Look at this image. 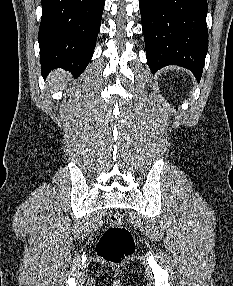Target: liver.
<instances>
[{"mask_svg":"<svg viewBox=\"0 0 233 286\" xmlns=\"http://www.w3.org/2000/svg\"><path fill=\"white\" fill-rule=\"evenodd\" d=\"M49 80H50V82L56 84V83H58L59 80H62V77H61L60 73L55 72L49 76Z\"/></svg>","mask_w":233,"mask_h":286,"instance_id":"liver-1","label":"liver"}]
</instances>
